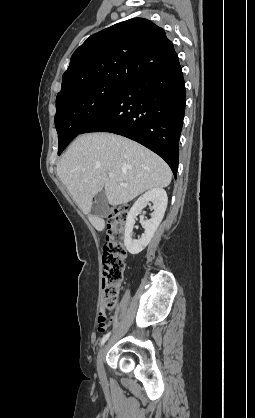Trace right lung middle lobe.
Returning <instances> with one entry per match:
<instances>
[{
    "mask_svg": "<svg viewBox=\"0 0 255 418\" xmlns=\"http://www.w3.org/2000/svg\"><path fill=\"white\" fill-rule=\"evenodd\" d=\"M128 84L100 81L68 90L56 98L58 155Z\"/></svg>",
    "mask_w": 255,
    "mask_h": 418,
    "instance_id": "1",
    "label": "right lung middle lobe"
}]
</instances>
